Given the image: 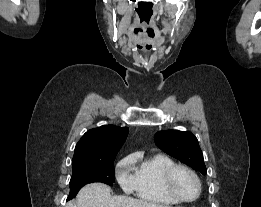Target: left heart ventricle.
<instances>
[{
	"mask_svg": "<svg viewBox=\"0 0 261 207\" xmlns=\"http://www.w3.org/2000/svg\"><path fill=\"white\" fill-rule=\"evenodd\" d=\"M173 185L177 193L186 199L195 197L198 191L196 181L184 170H179L176 172Z\"/></svg>",
	"mask_w": 261,
	"mask_h": 207,
	"instance_id": "b2bd125f",
	"label": "left heart ventricle"
}]
</instances>
